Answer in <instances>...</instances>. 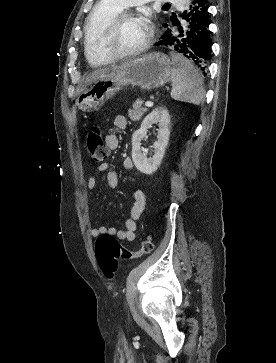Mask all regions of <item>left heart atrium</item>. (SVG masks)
Instances as JSON below:
<instances>
[{
  "mask_svg": "<svg viewBox=\"0 0 276 363\" xmlns=\"http://www.w3.org/2000/svg\"><path fill=\"white\" fill-rule=\"evenodd\" d=\"M145 24H146V26H147V28H148V23H147V22H145Z\"/></svg>",
  "mask_w": 276,
  "mask_h": 363,
  "instance_id": "obj_1",
  "label": "left heart atrium"
}]
</instances>
